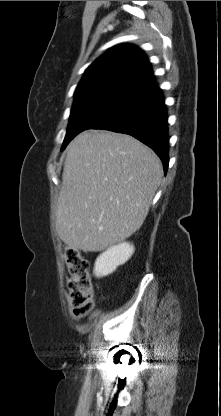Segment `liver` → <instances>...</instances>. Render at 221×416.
<instances>
[{"label":"liver","instance_id":"6515ba94","mask_svg":"<svg viewBox=\"0 0 221 416\" xmlns=\"http://www.w3.org/2000/svg\"><path fill=\"white\" fill-rule=\"evenodd\" d=\"M163 168L136 138L89 130L69 144L56 231L72 249L96 252L135 233L148 215Z\"/></svg>","mask_w":221,"mask_h":416}]
</instances>
